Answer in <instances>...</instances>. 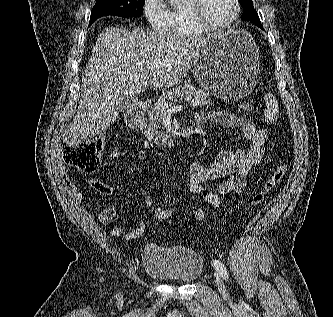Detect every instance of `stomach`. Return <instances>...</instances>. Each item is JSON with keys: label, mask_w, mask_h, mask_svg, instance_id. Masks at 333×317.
Segmentation results:
<instances>
[{"label": "stomach", "mask_w": 333, "mask_h": 317, "mask_svg": "<svg viewBox=\"0 0 333 317\" xmlns=\"http://www.w3.org/2000/svg\"><path fill=\"white\" fill-rule=\"evenodd\" d=\"M193 65L195 77L207 93L238 100L253 95L258 82V47L248 32L230 29L210 37Z\"/></svg>", "instance_id": "0dacf381"}]
</instances>
